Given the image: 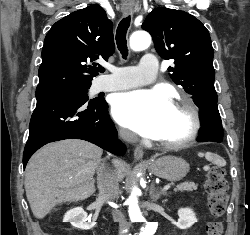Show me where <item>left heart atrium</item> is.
Listing matches in <instances>:
<instances>
[{
	"mask_svg": "<svg viewBox=\"0 0 250 235\" xmlns=\"http://www.w3.org/2000/svg\"><path fill=\"white\" fill-rule=\"evenodd\" d=\"M172 108V102L164 91L136 90L117 95L112 112L120 125L141 136L155 138Z\"/></svg>",
	"mask_w": 250,
	"mask_h": 235,
	"instance_id": "39dd6f15",
	"label": "left heart atrium"
}]
</instances>
